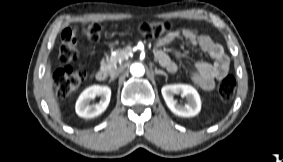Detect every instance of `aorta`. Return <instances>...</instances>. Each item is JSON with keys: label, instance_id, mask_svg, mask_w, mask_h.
Segmentation results:
<instances>
[{"label": "aorta", "instance_id": "aorta-1", "mask_svg": "<svg viewBox=\"0 0 283 162\" xmlns=\"http://www.w3.org/2000/svg\"><path fill=\"white\" fill-rule=\"evenodd\" d=\"M130 72L132 75L140 77L143 76L145 73V68L140 63H133L130 67Z\"/></svg>", "mask_w": 283, "mask_h": 162}]
</instances>
